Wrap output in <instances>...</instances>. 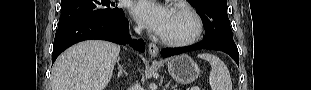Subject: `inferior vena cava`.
Returning <instances> with one entry per match:
<instances>
[{
  "mask_svg": "<svg viewBox=\"0 0 311 90\" xmlns=\"http://www.w3.org/2000/svg\"><path fill=\"white\" fill-rule=\"evenodd\" d=\"M135 31L140 34L142 31V28L140 26L135 28ZM131 90H141V86L138 82H136V84L131 88Z\"/></svg>",
  "mask_w": 311,
  "mask_h": 90,
  "instance_id": "602c4592",
  "label": "inferior vena cava"
}]
</instances>
